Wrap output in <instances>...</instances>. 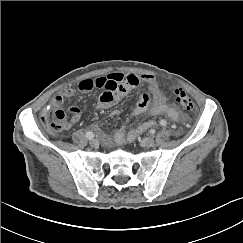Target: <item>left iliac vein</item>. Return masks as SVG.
<instances>
[{
    "mask_svg": "<svg viewBox=\"0 0 243 243\" xmlns=\"http://www.w3.org/2000/svg\"><path fill=\"white\" fill-rule=\"evenodd\" d=\"M143 147H153L155 145V140L152 137H145L141 141Z\"/></svg>",
    "mask_w": 243,
    "mask_h": 243,
    "instance_id": "4c4485c4",
    "label": "left iliac vein"
}]
</instances>
